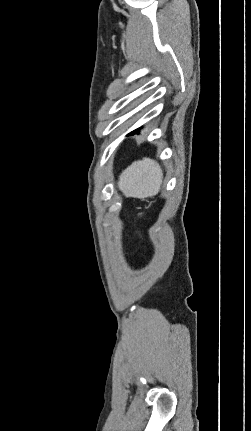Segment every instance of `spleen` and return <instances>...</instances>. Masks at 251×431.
Segmentation results:
<instances>
[{
	"mask_svg": "<svg viewBox=\"0 0 251 431\" xmlns=\"http://www.w3.org/2000/svg\"><path fill=\"white\" fill-rule=\"evenodd\" d=\"M163 172L150 158L133 162L120 175L118 187L126 197L144 199L158 194Z\"/></svg>",
	"mask_w": 251,
	"mask_h": 431,
	"instance_id": "3e777b00",
	"label": "spleen"
}]
</instances>
